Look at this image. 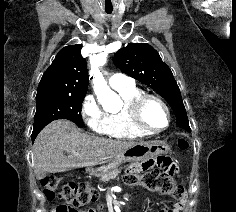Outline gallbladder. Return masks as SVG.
Segmentation results:
<instances>
[{
  "instance_id": "1",
  "label": "gallbladder",
  "mask_w": 236,
  "mask_h": 212,
  "mask_svg": "<svg viewBox=\"0 0 236 212\" xmlns=\"http://www.w3.org/2000/svg\"><path fill=\"white\" fill-rule=\"evenodd\" d=\"M46 175H47L46 172H40L37 174V177H38V179H42V178L46 177Z\"/></svg>"
}]
</instances>
